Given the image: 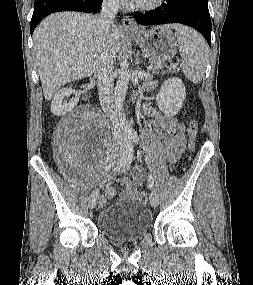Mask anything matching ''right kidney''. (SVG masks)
Returning a JSON list of instances; mask_svg holds the SVG:
<instances>
[{
	"mask_svg": "<svg viewBox=\"0 0 253 285\" xmlns=\"http://www.w3.org/2000/svg\"><path fill=\"white\" fill-rule=\"evenodd\" d=\"M76 94V91L70 86V87H65L58 91L51 102V112L54 115L57 116H63L69 111H71L78 103L79 98L76 97L69 101L68 103L65 102V98L72 95ZM77 96V94H76Z\"/></svg>",
	"mask_w": 253,
	"mask_h": 285,
	"instance_id": "obj_1",
	"label": "right kidney"
}]
</instances>
